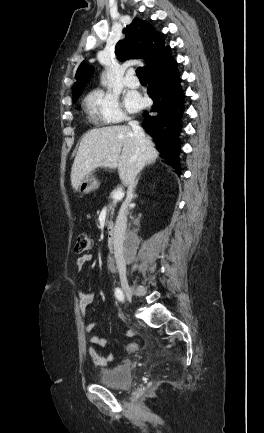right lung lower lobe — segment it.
<instances>
[{"label":"right lung lower lobe","instance_id":"98d812e1","mask_svg":"<svg viewBox=\"0 0 264 433\" xmlns=\"http://www.w3.org/2000/svg\"><path fill=\"white\" fill-rule=\"evenodd\" d=\"M144 74L148 80L147 92L153 100V106L150 112H144L142 126L154 138L162 156L181 174L178 158L180 142L176 126L181 121L184 110V95L180 87L177 62L171 57Z\"/></svg>","mask_w":264,"mask_h":433}]
</instances>
